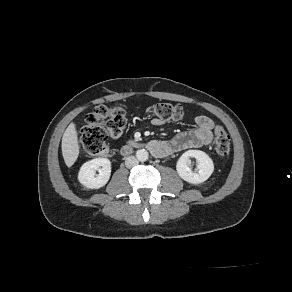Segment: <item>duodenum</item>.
I'll list each match as a JSON object with an SVG mask.
<instances>
[{
	"label": "duodenum",
	"instance_id": "410a0bca",
	"mask_svg": "<svg viewBox=\"0 0 292 292\" xmlns=\"http://www.w3.org/2000/svg\"><path fill=\"white\" fill-rule=\"evenodd\" d=\"M134 146H135V143H133V142H130V143L124 145L121 149L122 154L127 155V154L131 153Z\"/></svg>",
	"mask_w": 292,
	"mask_h": 292
}]
</instances>
